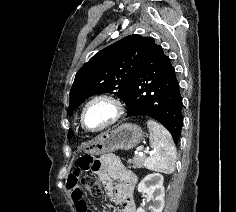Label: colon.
<instances>
[{
  "mask_svg": "<svg viewBox=\"0 0 236 212\" xmlns=\"http://www.w3.org/2000/svg\"><path fill=\"white\" fill-rule=\"evenodd\" d=\"M94 164V159L91 157H86L79 161V170L83 172V176L80 179V184L86 192L98 197L101 195L102 189L94 172V168H91ZM89 212L92 211L89 210Z\"/></svg>",
  "mask_w": 236,
  "mask_h": 212,
  "instance_id": "1",
  "label": "colon"
}]
</instances>
